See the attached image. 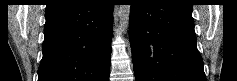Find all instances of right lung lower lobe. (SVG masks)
<instances>
[{
  "label": "right lung lower lobe",
  "mask_w": 237,
  "mask_h": 81,
  "mask_svg": "<svg viewBox=\"0 0 237 81\" xmlns=\"http://www.w3.org/2000/svg\"><path fill=\"white\" fill-rule=\"evenodd\" d=\"M113 4L74 0L46 10L38 81H108Z\"/></svg>",
  "instance_id": "98d812e1"
}]
</instances>
